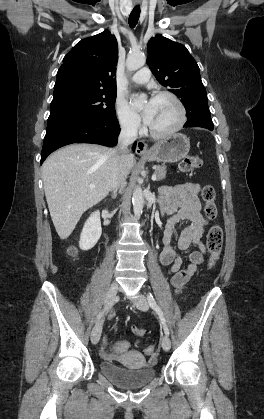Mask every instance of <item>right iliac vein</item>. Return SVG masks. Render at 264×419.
I'll return each mask as SVG.
<instances>
[{
	"instance_id": "obj_1",
	"label": "right iliac vein",
	"mask_w": 264,
	"mask_h": 419,
	"mask_svg": "<svg viewBox=\"0 0 264 419\" xmlns=\"http://www.w3.org/2000/svg\"><path fill=\"white\" fill-rule=\"evenodd\" d=\"M118 290H119L118 285L116 283H112L111 286H110V288H109V290H108V292H107L106 298H105L104 307H105V311L106 312L113 305V303H114V301L116 299ZM102 323H103V319L101 321H99L94 326V328L92 329V332H91V342L93 344H97L98 341H99V339H100L101 331H102Z\"/></svg>"
}]
</instances>
